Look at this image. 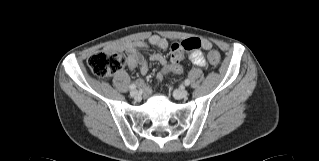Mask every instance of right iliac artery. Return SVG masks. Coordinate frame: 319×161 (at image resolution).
Listing matches in <instances>:
<instances>
[{"label":"right iliac artery","mask_w":319,"mask_h":161,"mask_svg":"<svg viewBox=\"0 0 319 161\" xmlns=\"http://www.w3.org/2000/svg\"><path fill=\"white\" fill-rule=\"evenodd\" d=\"M129 88H130L131 90L136 89V85H135V84H131V85L129 86Z\"/></svg>","instance_id":"1"}]
</instances>
